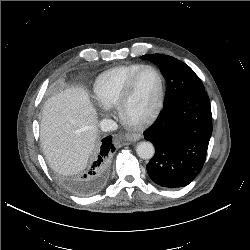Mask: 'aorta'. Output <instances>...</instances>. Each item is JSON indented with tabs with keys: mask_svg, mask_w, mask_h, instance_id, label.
<instances>
[{
	"mask_svg": "<svg viewBox=\"0 0 250 250\" xmlns=\"http://www.w3.org/2000/svg\"><path fill=\"white\" fill-rule=\"evenodd\" d=\"M136 152L142 159H151L154 156L155 148L151 142L143 141L137 144Z\"/></svg>",
	"mask_w": 250,
	"mask_h": 250,
	"instance_id": "obj_1",
	"label": "aorta"
}]
</instances>
